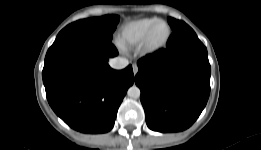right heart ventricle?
Listing matches in <instances>:
<instances>
[{
  "instance_id": "e07e8e85",
  "label": "right heart ventricle",
  "mask_w": 261,
  "mask_h": 150,
  "mask_svg": "<svg viewBox=\"0 0 261 150\" xmlns=\"http://www.w3.org/2000/svg\"><path fill=\"white\" fill-rule=\"evenodd\" d=\"M157 20L156 17H146L127 22L118 34L119 44L124 48L139 45L147 30Z\"/></svg>"
}]
</instances>
